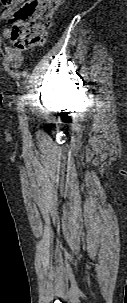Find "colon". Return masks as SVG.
<instances>
[{
    "label": "colon",
    "mask_w": 127,
    "mask_h": 303,
    "mask_svg": "<svg viewBox=\"0 0 127 303\" xmlns=\"http://www.w3.org/2000/svg\"><path fill=\"white\" fill-rule=\"evenodd\" d=\"M3 6H12L15 0H0ZM62 0H26L13 14L10 38L18 50L42 45L51 26L54 13Z\"/></svg>",
    "instance_id": "1"
}]
</instances>
